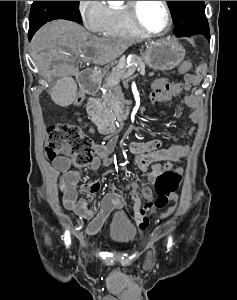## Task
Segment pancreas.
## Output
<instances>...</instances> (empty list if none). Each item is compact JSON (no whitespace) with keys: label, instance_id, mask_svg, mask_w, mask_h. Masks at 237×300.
I'll use <instances>...</instances> for the list:
<instances>
[{"label":"pancreas","instance_id":"pancreas-1","mask_svg":"<svg viewBox=\"0 0 237 300\" xmlns=\"http://www.w3.org/2000/svg\"><path fill=\"white\" fill-rule=\"evenodd\" d=\"M131 68H135V71H138L140 75H145V69L146 65L143 63L141 57H137V55H132L131 57ZM130 67H123V69H120V67H113L111 73H108L104 85H102L103 89H113V87H117L119 85L122 77H125L127 79L129 71L128 69ZM135 71L131 72L132 74L135 73ZM103 99V111L106 113V115H109V117H120L121 115V109H120V101L113 95V93H108V95H105V97H102Z\"/></svg>","mask_w":237,"mask_h":300}]
</instances>
